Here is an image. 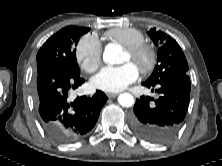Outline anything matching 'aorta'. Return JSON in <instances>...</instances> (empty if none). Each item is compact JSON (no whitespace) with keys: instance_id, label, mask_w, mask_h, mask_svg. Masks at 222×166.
<instances>
[{"instance_id":"obj_1","label":"aorta","mask_w":222,"mask_h":166,"mask_svg":"<svg viewBox=\"0 0 222 166\" xmlns=\"http://www.w3.org/2000/svg\"><path fill=\"white\" fill-rule=\"evenodd\" d=\"M121 54H122V50L120 47L110 44V45H107L104 50L103 60L104 62L110 63V64L120 63ZM118 102L123 107H130L134 104V98L129 93H123L119 95Z\"/></svg>"}]
</instances>
